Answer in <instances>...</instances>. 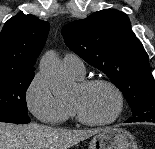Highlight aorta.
<instances>
[{
  "label": "aorta",
  "instance_id": "1",
  "mask_svg": "<svg viewBox=\"0 0 155 149\" xmlns=\"http://www.w3.org/2000/svg\"><path fill=\"white\" fill-rule=\"evenodd\" d=\"M40 73L56 97H66L73 88V81L66 75L54 51L46 52L40 60Z\"/></svg>",
  "mask_w": 155,
  "mask_h": 149
}]
</instances>
